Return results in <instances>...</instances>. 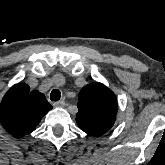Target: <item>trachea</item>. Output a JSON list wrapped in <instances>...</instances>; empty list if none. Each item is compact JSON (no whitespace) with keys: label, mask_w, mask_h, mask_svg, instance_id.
<instances>
[{"label":"trachea","mask_w":165,"mask_h":165,"mask_svg":"<svg viewBox=\"0 0 165 165\" xmlns=\"http://www.w3.org/2000/svg\"><path fill=\"white\" fill-rule=\"evenodd\" d=\"M61 97V92L58 89H54L52 90L51 94H50V99L52 101H58Z\"/></svg>","instance_id":"trachea-1"}]
</instances>
